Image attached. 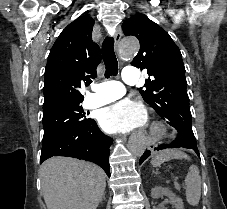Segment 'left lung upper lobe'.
<instances>
[{"label":"left lung upper lobe","instance_id":"5c2ea615","mask_svg":"<svg viewBox=\"0 0 227 209\" xmlns=\"http://www.w3.org/2000/svg\"><path fill=\"white\" fill-rule=\"evenodd\" d=\"M122 29L126 36H136L140 42V50L131 65L147 69L151 76L146 79L145 89L139 88L144 101L163 120H168L181 139L196 143L179 48L164 29L143 14L127 19Z\"/></svg>","mask_w":227,"mask_h":209}]
</instances>
